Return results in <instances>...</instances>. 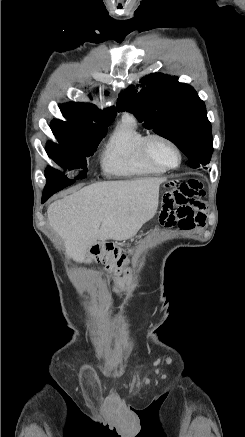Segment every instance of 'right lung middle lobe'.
<instances>
[{
  "label": "right lung middle lobe",
  "instance_id": "right-lung-middle-lobe-1",
  "mask_svg": "<svg viewBox=\"0 0 245 437\" xmlns=\"http://www.w3.org/2000/svg\"><path fill=\"white\" fill-rule=\"evenodd\" d=\"M107 126L85 125L71 120L68 122L54 120L50 128L59 144L48 142L46 152L53 161L63 168L69 170L84 168V171L75 178L83 179L87 172L86 157L95 152L99 142L106 134ZM45 177L47 182L57 180L70 181L72 184L75 182L74 179H68L63 172L50 166L45 170Z\"/></svg>",
  "mask_w": 245,
  "mask_h": 437
}]
</instances>
